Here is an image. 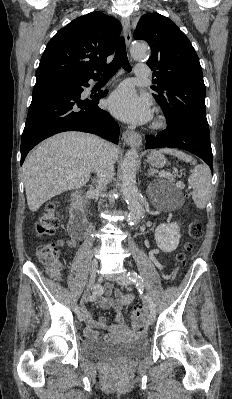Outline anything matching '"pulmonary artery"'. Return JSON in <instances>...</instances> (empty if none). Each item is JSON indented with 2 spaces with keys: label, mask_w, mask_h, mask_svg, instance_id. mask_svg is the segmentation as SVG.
Returning <instances> with one entry per match:
<instances>
[{
  "label": "pulmonary artery",
  "mask_w": 232,
  "mask_h": 399,
  "mask_svg": "<svg viewBox=\"0 0 232 399\" xmlns=\"http://www.w3.org/2000/svg\"><path fill=\"white\" fill-rule=\"evenodd\" d=\"M137 71V79L138 80H150L152 75V70L148 69V63H137L136 65Z\"/></svg>",
  "instance_id": "pulmonary-artery-1"
}]
</instances>
